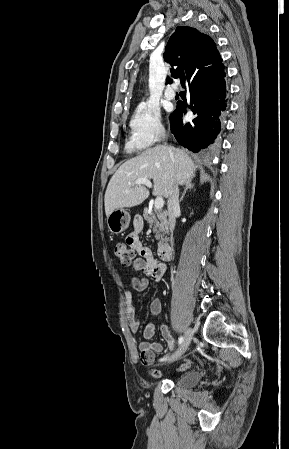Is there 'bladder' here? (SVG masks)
<instances>
[{
	"instance_id": "1",
	"label": "bladder",
	"mask_w": 289,
	"mask_h": 449,
	"mask_svg": "<svg viewBox=\"0 0 289 449\" xmlns=\"http://www.w3.org/2000/svg\"><path fill=\"white\" fill-rule=\"evenodd\" d=\"M201 377L200 371H191L178 378L175 384L181 388H189L197 384Z\"/></svg>"
}]
</instances>
